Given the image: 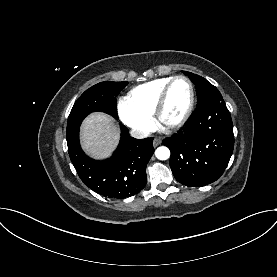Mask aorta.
Returning a JSON list of instances; mask_svg holds the SVG:
<instances>
[{"mask_svg":"<svg viewBox=\"0 0 277 277\" xmlns=\"http://www.w3.org/2000/svg\"><path fill=\"white\" fill-rule=\"evenodd\" d=\"M155 156L159 160H167L170 157V150L165 146L158 147Z\"/></svg>","mask_w":277,"mask_h":277,"instance_id":"762f6f07","label":"aorta"}]
</instances>
